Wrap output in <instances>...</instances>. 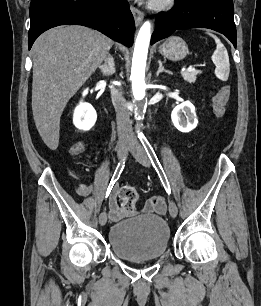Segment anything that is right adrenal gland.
I'll list each match as a JSON object with an SVG mask.
<instances>
[{
	"mask_svg": "<svg viewBox=\"0 0 261 306\" xmlns=\"http://www.w3.org/2000/svg\"><path fill=\"white\" fill-rule=\"evenodd\" d=\"M99 69L104 76L113 74L115 71L113 58L109 55L105 64L100 65Z\"/></svg>",
	"mask_w": 261,
	"mask_h": 306,
	"instance_id": "right-adrenal-gland-1",
	"label": "right adrenal gland"
}]
</instances>
